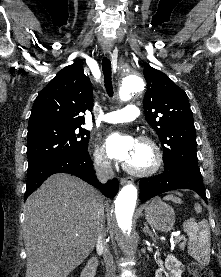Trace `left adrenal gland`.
Wrapping results in <instances>:
<instances>
[{
  "mask_svg": "<svg viewBox=\"0 0 221 277\" xmlns=\"http://www.w3.org/2000/svg\"><path fill=\"white\" fill-rule=\"evenodd\" d=\"M143 232H144L145 234L149 235V236L152 238V240L155 241L154 235H153V233L150 231V229H149L147 223H144Z\"/></svg>",
  "mask_w": 221,
  "mask_h": 277,
  "instance_id": "left-adrenal-gland-1",
  "label": "left adrenal gland"
}]
</instances>
